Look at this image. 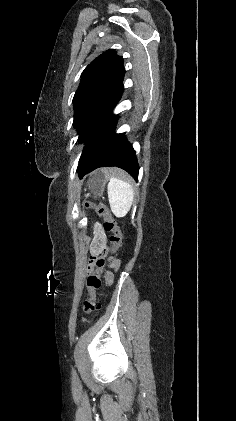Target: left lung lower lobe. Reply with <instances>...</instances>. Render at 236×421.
I'll list each match as a JSON object with an SVG mask.
<instances>
[{"mask_svg":"<svg viewBox=\"0 0 236 421\" xmlns=\"http://www.w3.org/2000/svg\"><path fill=\"white\" fill-rule=\"evenodd\" d=\"M120 98L106 110L90 132L79 160L80 178L96 168L116 166L138 180L139 166L135 150L124 133H115L118 116L112 115L111 112Z\"/></svg>","mask_w":236,"mask_h":421,"instance_id":"obj_1","label":"left lung lower lobe"}]
</instances>
